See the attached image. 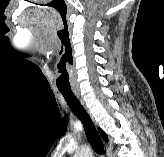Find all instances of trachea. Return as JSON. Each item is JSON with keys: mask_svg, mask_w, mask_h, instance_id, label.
Here are the masks:
<instances>
[{"mask_svg": "<svg viewBox=\"0 0 164 157\" xmlns=\"http://www.w3.org/2000/svg\"><path fill=\"white\" fill-rule=\"evenodd\" d=\"M63 97L65 98L68 106L72 110V112L80 119L82 122L87 139L91 144L94 151L98 154H104V146L103 142L92 122L89 115L87 114L86 110L83 106L79 103L77 98L74 96L72 90L66 89H59Z\"/></svg>", "mask_w": 164, "mask_h": 157, "instance_id": "obj_1", "label": "trachea"}]
</instances>
